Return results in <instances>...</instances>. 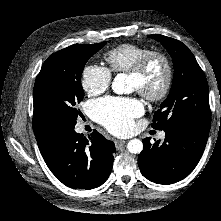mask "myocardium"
I'll return each mask as SVG.
<instances>
[{
  "label": "myocardium",
  "mask_w": 221,
  "mask_h": 221,
  "mask_svg": "<svg viewBox=\"0 0 221 221\" xmlns=\"http://www.w3.org/2000/svg\"><path fill=\"white\" fill-rule=\"evenodd\" d=\"M156 62H161L164 69L163 78L160 86L154 91L147 90L143 86H139L137 88L138 92L145 99L150 101H159L164 99L168 95L172 87L173 68L166 54L158 50H150L128 72V75L130 77L142 79L148 72V70L152 67V65Z\"/></svg>",
  "instance_id": "obj_1"
}]
</instances>
